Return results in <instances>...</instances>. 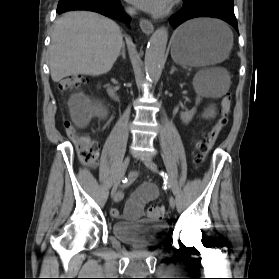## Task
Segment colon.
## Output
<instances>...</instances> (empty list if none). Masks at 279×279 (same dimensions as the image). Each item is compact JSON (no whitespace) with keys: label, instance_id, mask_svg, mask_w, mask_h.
Returning a JSON list of instances; mask_svg holds the SVG:
<instances>
[{"label":"colon","instance_id":"colon-1","mask_svg":"<svg viewBox=\"0 0 279 279\" xmlns=\"http://www.w3.org/2000/svg\"><path fill=\"white\" fill-rule=\"evenodd\" d=\"M88 79L81 75H73L62 79L59 88L62 92H71L85 85ZM232 104V95L226 94L221 101V109L218 117L211 123L198 142V155L196 164L202 165L209 152L212 150L220 131L228 123V116ZM66 129L70 136L76 140V148L80 161L85 165H93L97 161L98 147L90 138L77 134L76 128L70 123H66ZM147 216L152 219H162L165 216V209L161 206L152 205L146 210Z\"/></svg>","mask_w":279,"mask_h":279}]
</instances>
